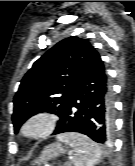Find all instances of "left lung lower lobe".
<instances>
[{"label": "left lung lower lobe", "instance_id": "left-lung-lower-lobe-1", "mask_svg": "<svg viewBox=\"0 0 135 166\" xmlns=\"http://www.w3.org/2000/svg\"><path fill=\"white\" fill-rule=\"evenodd\" d=\"M53 134L79 132L98 143L111 141L114 130L112 88L97 53L81 74L72 99Z\"/></svg>", "mask_w": 135, "mask_h": 166}]
</instances>
